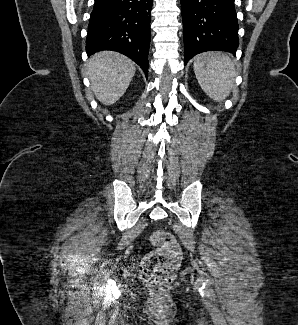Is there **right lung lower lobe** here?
<instances>
[{
  "label": "right lung lower lobe",
  "mask_w": 298,
  "mask_h": 325,
  "mask_svg": "<svg viewBox=\"0 0 298 325\" xmlns=\"http://www.w3.org/2000/svg\"><path fill=\"white\" fill-rule=\"evenodd\" d=\"M153 0H95L90 16L86 52H120L148 76L150 22Z\"/></svg>",
  "instance_id": "98d812e1"
}]
</instances>
